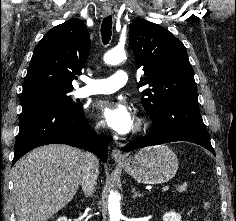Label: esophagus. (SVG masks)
Wrapping results in <instances>:
<instances>
[{"instance_id": "esophagus-1", "label": "esophagus", "mask_w": 236, "mask_h": 221, "mask_svg": "<svg viewBox=\"0 0 236 221\" xmlns=\"http://www.w3.org/2000/svg\"><path fill=\"white\" fill-rule=\"evenodd\" d=\"M111 14V10H103V15L104 16H108ZM111 157L115 162H124L125 158L124 156L121 154L120 150L117 148H114L111 152Z\"/></svg>"}]
</instances>
